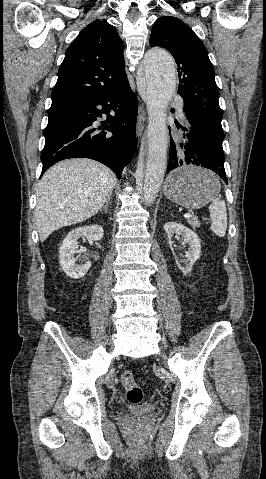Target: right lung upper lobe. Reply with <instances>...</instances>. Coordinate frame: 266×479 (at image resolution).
Instances as JSON below:
<instances>
[{"instance_id": "obj_1", "label": "right lung upper lobe", "mask_w": 266, "mask_h": 479, "mask_svg": "<svg viewBox=\"0 0 266 479\" xmlns=\"http://www.w3.org/2000/svg\"><path fill=\"white\" fill-rule=\"evenodd\" d=\"M123 43L106 20L88 24L68 47L52 102L114 90L128 82Z\"/></svg>"}]
</instances>
